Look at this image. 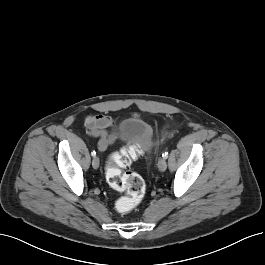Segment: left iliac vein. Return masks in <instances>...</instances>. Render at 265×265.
Here are the masks:
<instances>
[{"label":"left iliac vein","mask_w":265,"mask_h":265,"mask_svg":"<svg viewBox=\"0 0 265 265\" xmlns=\"http://www.w3.org/2000/svg\"><path fill=\"white\" fill-rule=\"evenodd\" d=\"M158 168L161 172H164L167 169V162L164 158L159 159Z\"/></svg>","instance_id":"1"}]
</instances>
